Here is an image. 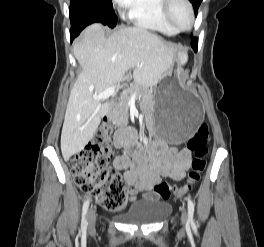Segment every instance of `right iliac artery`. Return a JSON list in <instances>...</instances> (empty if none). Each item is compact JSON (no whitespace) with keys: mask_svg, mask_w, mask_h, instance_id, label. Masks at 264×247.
<instances>
[{"mask_svg":"<svg viewBox=\"0 0 264 247\" xmlns=\"http://www.w3.org/2000/svg\"><path fill=\"white\" fill-rule=\"evenodd\" d=\"M89 204H90V200H86L84 202L83 208H82L81 230L83 232H86L87 225H88V222H87V219H86V214H87V211H88V208H89Z\"/></svg>","mask_w":264,"mask_h":247,"instance_id":"1","label":"right iliac artery"}]
</instances>
